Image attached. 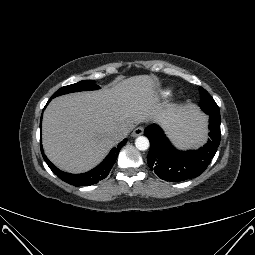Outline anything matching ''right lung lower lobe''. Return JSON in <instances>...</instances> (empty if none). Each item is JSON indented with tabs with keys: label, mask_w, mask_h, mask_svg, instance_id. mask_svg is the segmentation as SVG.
I'll return each instance as SVG.
<instances>
[{
	"label": "right lung lower lobe",
	"mask_w": 255,
	"mask_h": 255,
	"mask_svg": "<svg viewBox=\"0 0 255 255\" xmlns=\"http://www.w3.org/2000/svg\"><path fill=\"white\" fill-rule=\"evenodd\" d=\"M48 104V103H47ZM46 104V105H47ZM41 128V125H40ZM127 139H124L119 146L116 148L114 147L111 152L107 155V157L103 160L101 164H99L96 168L93 170L83 173V174H69L65 173L61 170H59L57 167H55L45 156L43 148L41 146V152L43 155L44 160L46 161L49 168L63 181L67 182L68 184H71L73 186H89L95 183H98L99 181L103 180L112 169V166L116 162V158L118 156V153L121 149V147L124 146Z\"/></svg>",
	"instance_id": "98d812e1"
}]
</instances>
